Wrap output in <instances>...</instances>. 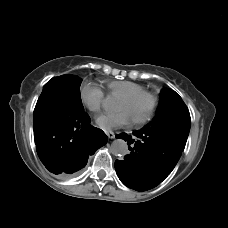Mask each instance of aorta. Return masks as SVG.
Returning a JSON list of instances; mask_svg holds the SVG:
<instances>
[{
    "label": "aorta",
    "mask_w": 228,
    "mask_h": 228,
    "mask_svg": "<svg viewBox=\"0 0 228 228\" xmlns=\"http://www.w3.org/2000/svg\"><path fill=\"white\" fill-rule=\"evenodd\" d=\"M112 153L116 156L123 157L129 153L127 142L123 139H116L111 144Z\"/></svg>",
    "instance_id": "aorta-1"
}]
</instances>
